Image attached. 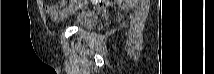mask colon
Wrapping results in <instances>:
<instances>
[{
    "instance_id": "obj_1",
    "label": "colon",
    "mask_w": 214,
    "mask_h": 74,
    "mask_svg": "<svg viewBox=\"0 0 214 74\" xmlns=\"http://www.w3.org/2000/svg\"><path fill=\"white\" fill-rule=\"evenodd\" d=\"M91 2L100 7L109 6L115 3V1H108V0H92Z\"/></svg>"
}]
</instances>
